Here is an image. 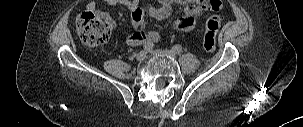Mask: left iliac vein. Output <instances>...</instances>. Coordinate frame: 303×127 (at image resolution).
Listing matches in <instances>:
<instances>
[{
    "label": "left iliac vein",
    "mask_w": 303,
    "mask_h": 127,
    "mask_svg": "<svg viewBox=\"0 0 303 127\" xmlns=\"http://www.w3.org/2000/svg\"><path fill=\"white\" fill-rule=\"evenodd\" d=\"M151 54L158 57H169V58H175L176 54L172 50H160L156 49L151 51Z\"/></svg>",
    "instance_id": "obj_1"
}]
</instances>
